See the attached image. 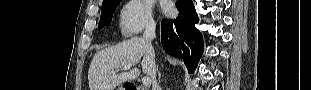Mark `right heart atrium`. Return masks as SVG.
<instances>
[{
  "instance_id": "right-heart-atrium-1",
  "label": "right heart atrium",
  "mask_w": 311,
  "mask_h": 90,
  "mask_svg": "<svg viewBox=\"0 0 311 90\" xmlns=\"http://www.w3.org/2000/svg\"><path fill=\"white\" fill-rule=\"evenodd\" d=\"M155 21L151 4L146 0H131L119 13V28L123 36L133 38L143 30H152Z\"/></svg>"
}]
</instances>
